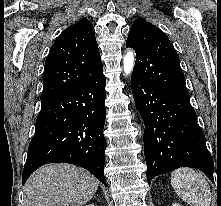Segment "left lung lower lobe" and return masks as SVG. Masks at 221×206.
<instances>
[{
  "instance_id": "obj_1",
  "label": "left lung lower lobe",
  "mask_w": 221,
  "mask_h": 206,
  "mask_svg": "<svg viewBox=\"0 0 221 206\" xmlns=\"http://www.w3.org/2000/svg\"><path fill=\"white\" fill-rule=\"evenodd\" d=\"M137 109L145 123L147 180L179 167L203 171L213 182V160L189 97L131 79Z\"/></svg>"
}]
</instances>
